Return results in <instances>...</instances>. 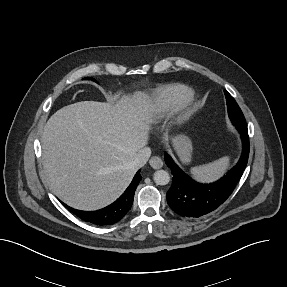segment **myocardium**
<instances>
[{"label":"myocardium","mask_w":287,"mask_h":287,"mask_svg":"<svg viewBox=\"0 0 287 287\" xmlns=\"http://www.w3.org/2000/svg\"><path fill=\"white\" fill-rule=\"evenodd\" d=\"M195 97L192 94H188L175 106L174 116L172 119V128L178 131L189 120L191 114L194 111Z\"/></svg>","instance_id":"myocardium-1"}]
</instances>
